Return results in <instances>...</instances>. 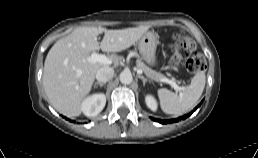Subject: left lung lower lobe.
I'll use <instances>...</instances> for the list:
<instances>
[{
	"mask_svg": "<svg viewBox=\"0 0 258 158\" xmlns=\"http://www.w3.org/2000/svg\"><path fill=\"white\" fill-rule=\"evenodd\" d=\"M201 105V103L196 107L194 108V110L192 112H190L189 114L183 116V117H179L177 119H171V120H159V119H156V118H152V120L156 121V122H159L161 124H167V123H173V122H178L179 120L181 119H185L187 118L188 116H190L199 106Z\"/></svg>",
	"mask_w": 258,
	"mask_h": 158,
	"instance_id": "obj_1",
	"label": "left lung lower lobe"
}]
</instances>
